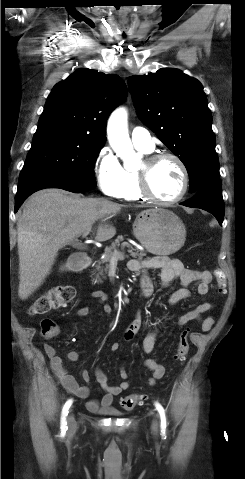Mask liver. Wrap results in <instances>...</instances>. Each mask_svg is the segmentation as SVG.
Returning a JSON list of instances; mask_svg holds the SVG:
<instances>
[{"label": "liver", "mask_w": 245, "mask_h": 479, "mask_svg": "<svg viewBox=\"0 0 245 479\" xmlns=\"http://www.w3.org/2000/svg\"><path fill=\"white\" fill-rule=\"evenodd\" d=\"M123 205L103 198H81L59 189L33 194L24 204L17 221L20 299H27L45 280L58 251L92 229L95 221L105 222ZM116 234L112 225H99L95 240L103 242Z\"/></svg>", "instance_id": "6515ba94"}]
</instances>
